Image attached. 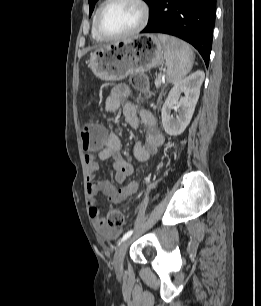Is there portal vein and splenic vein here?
Returning a JSON list of instances; mask_svg holds the SVG:
<instances>
[{
	"label": "portal vein and splenic vein",
	"instance_id": "portal-vein-and-splenic-vein-1",
	"mask_svg": "<svg viewBox=\"0 0 261 306\" xmlns=\"http://www.w3.org/2000/svg\"><path fill=\"white\" fill-rule=\"evenodd\" d=\"M160 80V78H158L155 82V85L157 86L158 85V81ZM161 81V80H160Z\"/></svg>",
	"mask_w": 261,
	"mask_h": 306
}]
</instances>
